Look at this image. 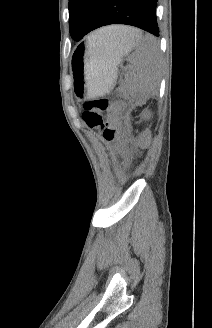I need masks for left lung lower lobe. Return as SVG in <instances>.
<instances>
[{
  "mask_svg": "<svg viewBox=\"0 0 212 328\" xmlns=\"http://www.w3.org/2000/svg\"><path fill=\"white\" fill-rule=\"evenodd\" d=\"M158 0H103L91 31L110 24H127L159 36L156 21Z\"/></svg>",
  "mask_w": 212,
  "mask_h": 328,
  "instance_id": "0a47b994",
  "label": "left lung lower lobe"
}]
</instances>
